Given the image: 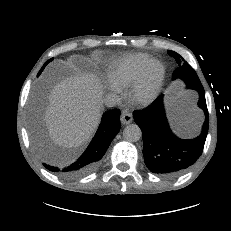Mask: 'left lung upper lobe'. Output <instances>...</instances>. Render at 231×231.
Listing matches in <instances>:
<instances>
[{"instance_id":"5c2ea615","label":"left lung upper lobe","mask_w":231,"mask_h":231,"mask_svg":"<svg viewBox=\"0 0 231 231\" xmlns=\"http://www.w3.org/2000/svg\"><path fill=\"white\" fill-rule=\"evenodd\" d=\"M168 54L175 58L178 68L173 72V80L180 78L188 84L200 83L195 70L180 55L174 51L168 50Z\"/></svg>"}]
</instances>
